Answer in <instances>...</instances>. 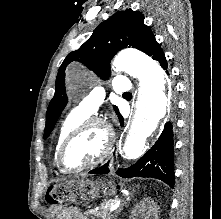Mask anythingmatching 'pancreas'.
<instances>
[{
	"label": "pancreas",
	"instance_id": "obj_1",
	"mask_svg": "<svg viewBox=\"0 0 221 219\" xmlns=\"http://www.w3.org/2000/svg\"><path fill=\"white\" fill-rule=\"evenodd\" d=\"M115 204L114 200H110L108 202H104L101 206L91 209L85 212V214L90 215L93 219L101 218V219H111L113 217L110 208Z\"/></svg>",
	"mask_w": 221,
	"mask_h": 219
}]
</instances>
